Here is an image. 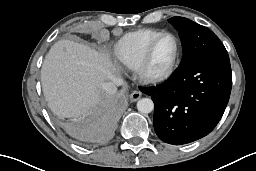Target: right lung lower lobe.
I'll list each match as a JSON object with an SVG mask.
<instances>
[{"label": "right lung lower lobe", "mask_w": 256, "mask_h": 171, "mask_svg": "<svg viewBox=\"0 0 256 171\" xmlns=\"http://www.w3.org/2000/svg\"><path fill=\"white\" fill-rule=\"evenodd\" d=\"M127 97L124 92L104 97L90 114L68 125L69 134L83 142L102 143L109 140L124 111Z\"/></svg>", "instance_id": "obj_1"}]
</instances>
